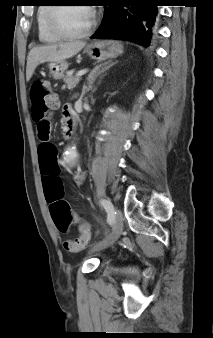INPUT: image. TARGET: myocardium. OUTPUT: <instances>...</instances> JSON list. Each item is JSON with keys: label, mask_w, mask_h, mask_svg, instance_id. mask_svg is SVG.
<instances>
[{"label": "myocardium", "mask_w": 213, "mask_h": 338, "mask_svg": "<svg viewBox=\"0 0 213 338\" xmlns=\"http://www.w3.org/2000/svg\"><path fill=\"white\" fill-rule=\"evenodd\" d=\"M53 6L58 7L50 8L47 19V28L48 31L56 38L65 40L79 39L89 35L95 29L96 17L94 14H92L89 25L83 31L78 33H68L63 31L58 25L57 12L60 8L69 6L66 5H53Z\"/></svg>", "instance_id": "obj_1"}]
</instances>
